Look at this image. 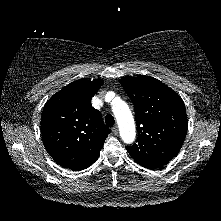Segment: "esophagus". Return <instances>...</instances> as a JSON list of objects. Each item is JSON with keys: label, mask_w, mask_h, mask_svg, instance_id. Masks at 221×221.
Returning <instances> with one entry per match:
<instances>
[{"label": "esophagus", "mask_w": 221, "mask_h": 221, "mask_svg": "<svg viewBox=\"0 0 221 221\" xmlns=\"http://www.w3.org/2000/svg\"><path fill=\"white\" fill-rule=\"evenodd\" d=\"M118 127L117 126H114L113 128H112V132L115 134V135H117L118 134Z\"/></svg>", "instance_id": "obj_1"}]
</instances>
